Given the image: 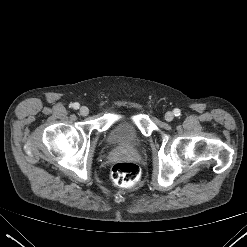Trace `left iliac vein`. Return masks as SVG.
<instances>
[{
	"mask_svg": "<svg viewBox=\"0 0 247 247\" xmlns=\"http://www.w3.org/2000/svg\"><path fill=\"white\" fill-rule=\"evenodd\" d=\"M173 119H174V114H173L172 112H167V113L165 114V120H166V121L170 122V121H172Z\"/></svg>",
	"mask_w": 247,
	"mask_h": 247,
	"instance_id": "1",
	"label": "left iliac vein"
}]
</instances>
